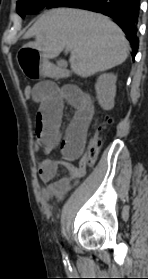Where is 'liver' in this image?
<instances>
[{
    "label": "liver",
    "instance_id": "6515ba94",
    "mask_svg": "<svg viewBox=\"0 0 148 279\" xmlns=\"http://www.w3.org/2000/svg\"><path fill=\"white\" fill-rule=\"evenodd\" d=\"M24 45L42 53L45 61L70 48L72 71L89 77L122 64L128 57L129 43L123 31L108 17L90 11L55 8L46 11L26 32Z\"/></svg>",
    "mask_w": 148,
    "mask_h": 279
}]
</instances>
